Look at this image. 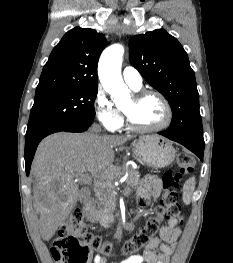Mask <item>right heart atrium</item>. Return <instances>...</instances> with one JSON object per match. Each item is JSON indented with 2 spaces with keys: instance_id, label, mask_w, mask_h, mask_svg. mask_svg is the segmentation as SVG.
Here are the masks:
<instances>
[{
  "instance_id": "obj_1",
  "label": "right heart atrium",
  "mask_w": 233,
  "mask_h": 263,
  "mask_svg": "<svg viewBox=\"0 0 233 263\" xmlns=\"http://www.w3.org/2000/svg\"><path fill=\"white\" fill-rule=\"evenodd\" d=\"M94 108L97 119L106 130L114 132L121 128L123 124L122 114L101 86L97 87L94 95Z\"/></svg>"
}]
</instances>
